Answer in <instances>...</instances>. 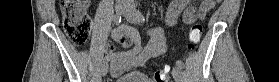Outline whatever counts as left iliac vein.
<instances>
[{
    "label": "left iliac vein",
    "instance_id": "1",
    "mask_svg": "<svg viewBox=\"0 0 279 82\" xmlns=\"http://www.w3.org/2000/svg\"><path fill=\"white\" fill-rule=\"evenodd\" d=\"M124 17L130 23H133V24L137 23L136 11H135V8H133L132 6H129L125 9ZM172 75L177 82H183V72H182L181 68H179L178 66H175L172 69Z\"/></svg>",
    "mask_w": 279,
    "mask_h": 82
}]
</instances>
